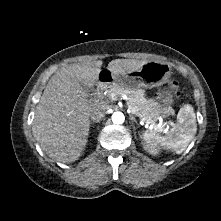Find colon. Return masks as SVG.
I'll list each match as a JSON object with an SVG mask.
<instances>
[{
	"mask_svg": "<svg viewBox=\"0 0 221 221\" xmlns=\"http://www.w3.org/2000/svg\"><path fill=\"white\" fill-rule=\"evenodd\" d=\"M170 89L174 95L178 94V86L175 83H172Z\"/></svg>",
	"mask_w": 221,
	"mask_h": 221,
	"instance_id": "obj_1",
	"label": "colon"
}]
</instances>
